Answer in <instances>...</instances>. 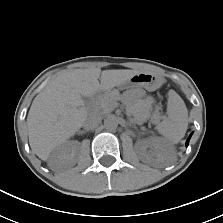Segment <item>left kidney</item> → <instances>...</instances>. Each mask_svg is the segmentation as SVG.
Instances as JSON below:
<instances>
[{
	"mask_svg": "<svg viewBox=\"0 0 223 223\" xmlns=\"http://www.w3.org/2000/svg\"><path fill=\"white\" fill-rule=\"evenodd\" d=\"M136 148L141 161L153 166H170L176 158L173 145L161 138L153 137L138 141Z\"/></svg>",
	"mask_w": 223,
	"mask_h": 223,
	"instance_id": "left-kidney-1",
	"label": "left kidney"
}]
</instances>
